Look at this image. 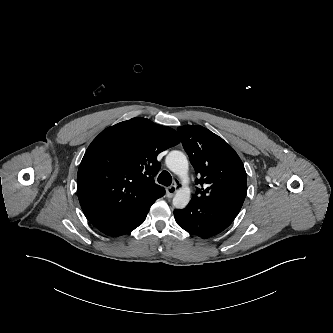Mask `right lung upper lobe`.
<instances>
[{"instance_id":"cb5924a9","label":"right lung upper lobe","mask_w":333,"mask_h":333,"mask_svg":"<svg viewBox=\"0 0 333 333\" xmlns=\"http://www.w3.org/2000/svg\"><path fill=\"white\" fill-rule=\"evenodd\" d=\"M180 142L175 130L136 117L102 131L89 145L77 175L82 210L93 225L148 210L165 193L154 182L157 155Z\"/></svg>"}]
</instances>
